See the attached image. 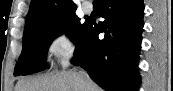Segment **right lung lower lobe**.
<instances>
[{
    "instance_id": "98d812e1",
    "label": "right lung lower lobe",
    "mask_w": 173,
    "mask_h": 91,
    "mask_svg": "<svg viewBox=\"0 0 173 91\" xmlns=\"http://www.w3.org/2000/svg\"><path fill=\"white\" fill-rule=\"evenodd\" d=\"M100 4L105 21H89L72 63L80 64L92 80L108 91H136L143 0H100ZM103 32L104 39H99Z\"/></svg>"
}]
</instances>
